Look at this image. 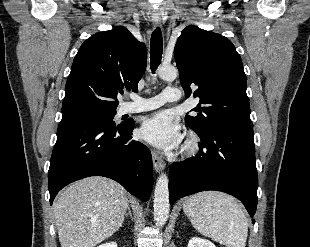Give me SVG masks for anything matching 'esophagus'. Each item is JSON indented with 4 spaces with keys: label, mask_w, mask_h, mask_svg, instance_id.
Here are the masks:
<instances>
[{
    "label": "esophagus",
    "mask_w": 310,
    "mask_h": 247,
    "mask_svg": "<svg viewBox=\"0 0 310 247\" xmlns=\"http://www.w3.org/2000/svg\"><path fill=\"white\" fill-rule=\"evenodd\" d=\"M152 22L154 26H160L161 23V17L159 14H154L152 16ZM152 159H153V166L156 172H160L164 169L165 163L162 159V157L156 153L155 151L152 152Z\"/></svg>",
    "instance_id": "34e87169"
}]
</instances>
